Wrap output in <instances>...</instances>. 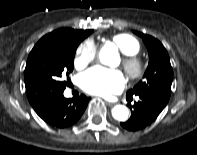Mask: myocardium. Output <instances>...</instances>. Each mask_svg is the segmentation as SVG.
<instances>
[{
	"instance_id": "obj_1",
	"label": "myocardium",
	"mask_w": 197,
	"mask_h": 155,
	"mask_svg": "<svg viewBox=\"0 0 197 155\" xmlns=\"http://www.w3.org/2000/svg\"><path fill=\"white\" fill-rule=\"evenodd\" d=\"M122 67L127 77L132 81L141 79L145 73V64L137 55H125Z\"/></svg>"
}]
</instances>
